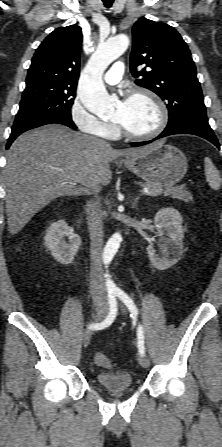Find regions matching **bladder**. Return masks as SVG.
Listing matches in <instances>:
<instances>
[{
    "label": "bladder",
    "instance_id": "1",
    "mask_svg": "<svg viewBox=\"0 0 222 447\" xmlns=\"http://www.w3.org/2000/svg\"><path fill=\"white\" fill-rule=\"evenodd\" d=\"M96 380L104 390L111 392L128 390L133 386V377L125 370L100 372L96 375Z\"/></svg>",
    "mask_w": 222,
    "mask_h": 447
}]
</instances>
